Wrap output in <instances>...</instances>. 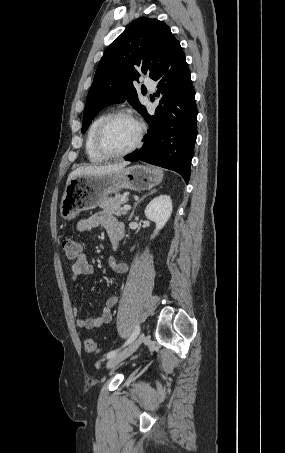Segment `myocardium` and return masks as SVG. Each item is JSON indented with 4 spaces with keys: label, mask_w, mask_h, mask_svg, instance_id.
<instances>
[{
    "label": "myocardium",
    "mask_w": 285,
    "mask_h": 453,
    "mask_svg": "<svg viewBox=\"0 0 285 453\" xmlns=\"http://www.w3.org/2000/svg\"><path fill=\"white\" fill-rule=\"evenodd\" d=\"M118 117H127L134 121L137 126H138V135L136 138V141L132 146H130L128 149L120 151V152H111L109 151L104 143H103V136L106 127L108 124L115 118ZM145 131L146 127L145 124L143 123L142 120H140L133 112L126 110V109H119L116 111H113L109 114H107L102 121L99 123L96 132H95V138H94V143H95V148L98 151L100 155H102L106 159H115V158H121L124 156H127L137 150L143 142L144 136H145Z\"/></svg>",
    "instance_id": "1"
}]
</instances>
